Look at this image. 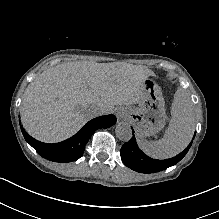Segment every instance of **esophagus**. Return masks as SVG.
<instances>
[{"mask_svg": "<svg viewBox=\"0 0 219 219\" xmlns=\"http://www.w3.org/2000/svg\"><path fill=\"white\" fill-rule=\"evenodd\" d=\"M118 118H119V119H122V118H123V115H118Z\"/></svg>", "mask_w": 219, "mask_h": 219, "instance_id": "1", "label": "esophagus"}]
</instances>
